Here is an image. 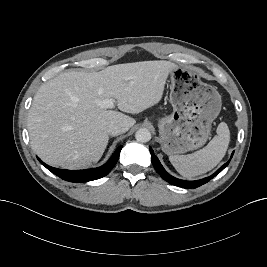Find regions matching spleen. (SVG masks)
<instances>
[{
    "instance_id": "spleen-1",
    "label": "spleen",
    "mask_w": 267,
    "mask_h": 267,
    "mask_svg": "<svg viewBox=\"0 0 267 267\" xmlns=\"http://www.w3.org/2000/svg\"><path fill=\"white\" fill-rule=\"evenodd\" d=\"M217 135L203 149L188 155H170L173 167L183 177L191 179L212 170L225 156L230 142V131L226 123L217 127Z\"/></svg>"
}]
</instances>
